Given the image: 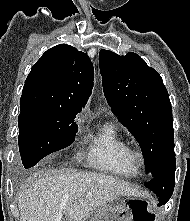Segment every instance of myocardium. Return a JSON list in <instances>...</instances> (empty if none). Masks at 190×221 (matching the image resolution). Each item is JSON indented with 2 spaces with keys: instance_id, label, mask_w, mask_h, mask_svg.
I'll use <instances>...</instances> for the list:
<instances>
[{
  "instance_id": "obj_1",
  "label": "myocardium",
  "mask_w": 190,
  "mask_h": 221,
  "mask_svg": "<svg viewBox=\"0 0 190 221\" xmlns=\"http://www.w3.org/2000/svg\"><path fill=\"white\" fill-rule=\"evenodd\" d=\"M130 158L137 170L143 168L146 164V154L140 147L130 148Z\"/></svg>"
}]
</instances>
